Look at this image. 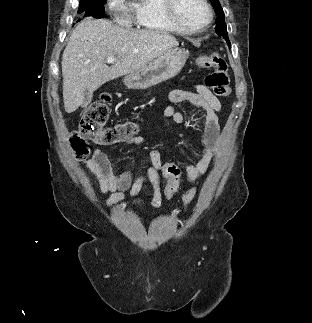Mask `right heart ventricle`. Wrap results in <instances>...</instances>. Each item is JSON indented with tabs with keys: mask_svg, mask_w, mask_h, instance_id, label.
<instances>
[{
	"mask_svg": "<svg viewBox=\"0 0 312 323\" xmlns=\"http://www.w3.org/2000/svg\"><path fill=\"white\" fill-rule=\"evenodd\" d=\"M130 16L136 29H180L167 13L165 1L145 0L144 5H134Z\"/></svg>",
	"mask_w": 312,
	"mask_h": 323,
	"instance_id": "obj_1",
	"label": "right heart ventricle"
}]
</instances>
